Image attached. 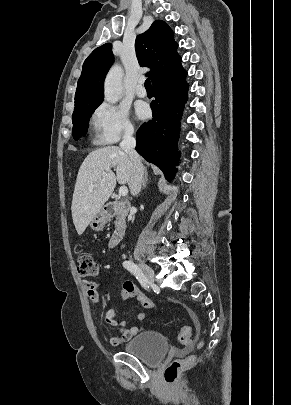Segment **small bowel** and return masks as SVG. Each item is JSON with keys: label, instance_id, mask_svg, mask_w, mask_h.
Returning <instances> with one entry per match:
<instances>
[{"label": "small bowel", "instance_id": "obj_1", "mask_svg": "<svg viewBox=\"0 0 291 405\" xmlns=\"http://www.w3.org/2000/svg\"><path fill=\"white\" fill-rule=\"evenodd\" d=\"M83 286L86 290V294L88 298L93 301L94 303H97L99 300V295H98V289L101 286V282H92V281H83ZM187 313L192 320L194 326L196 328H199V321L197 319V316L195 313L187 309ZM145 313L144 312H139L137 315L138 320L142 321L145 319ZM106 325L111 326V327H119L120 328V334L118 336H111L109 337V343L112 346H118L123 342H126L130 340L133 336L137 335L141 329L138 326H132L130 328H126V321L125 320H118L116 318L115 312L113 310H107L104 314L103 317V324H102V330L104 334H107L106 330Z\"/></svg>", "mask_w": 291, "mask_h": 405}]
</instances>
